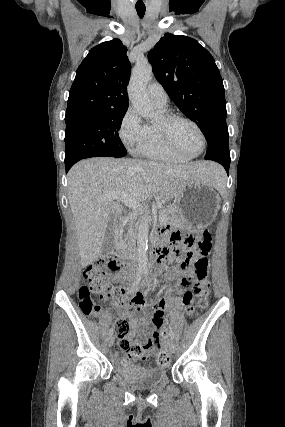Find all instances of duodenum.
<instances>
[{
    "label": "duodenum",
    "mask_w": 285,
    "mask_h": 427,
    "mask_svg": "<svg viewBox=\"0 0 285 427\" xmlns=\"http://www.w3.org/2000/svg\"><path fill=\"white\" fill-rule=\"evenodd\" d=\"M114 226H115V230L117 231V233L120 232L126 226V219L123 217L116 219ZM168 250H169V247H168L167 243L160 244L154 250L155 257L158 259H163L164 257H166ZM111 253H115V250H112Z\"/></svg>",
    "instance_id": "duodenum-1"
}]
</instances>
